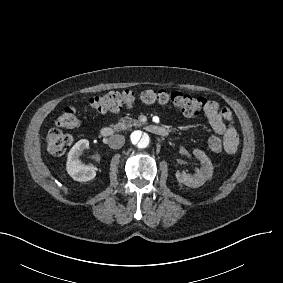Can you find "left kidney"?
I'll return each mask as SVG.
<instances>
[{
    "label": "left kidney",
    "instance_id": "left-kidney-1",
    "mask_svg": "<svg viewBox=\"0 0 283 283\" xmlns=\"http://www.w3.org/2000/svg\"><path fill=\"white\" fill-rule=\"evenodd\" d=\"M193 155L197 160L201 162V168L198 170L197 174L189 175L186 172L177 171L175 176L179 183L185 184L192 188H197L202 186L208 179L212 177L213 165L210 158L201 150L193 149Z\"/></svg>",
    "mask_w": 283,
    "mask_h": 283
}]
</instances>
